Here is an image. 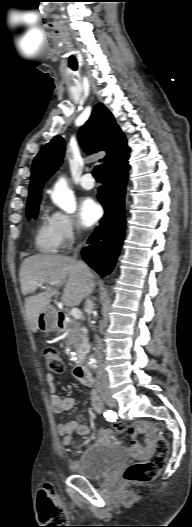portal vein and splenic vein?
I'll list each match as a JSON object with an SVG mask.
<instances>
[{
    "mask_svg": "<svg viewBox=\"0 0 192 527\" xmlns=\"http://www.w3.org/2000/svg\"><path fill=\"white\" fill-rule=\"evenodd\" d=\"M49 284H50V285H57L58 282L52 280V281L49 282ZM39 286L41 287L42 285L39 284ZM71 315H72V317H73L74 319H76V320L80 319L81 316H82L81 311H80L78 308H72V309H71Z\"/></svg>",
    "mask_w": 192,
    "mask_h": 527,
    "instance_id": "18ae733b",
    "label": "portal vein and splenic vein"
}]
</instances>
